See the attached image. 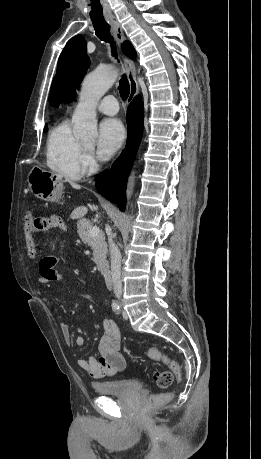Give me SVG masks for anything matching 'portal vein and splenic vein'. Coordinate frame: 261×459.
Listing matches in <instances>:
<instances>
[{"label": "portal vein and splenic vein", "instance_id": "portal-vein-and-splenic-vein-1", "mask_svg": "<svg viewBox=\"0 0 261 459\" xmlns=\"http://www.w3.org/2000/svg\"><path fill=\"white\" fill-rule=\"evenodd\" d=\"M99 232H100L99 227H98V226H93V227L90 229V232H89V233H90V236H91V237H95V236H97V235L99 234Z\"/></svg>", "mask_w": 261, "mask_h": 459}]
</instances>
